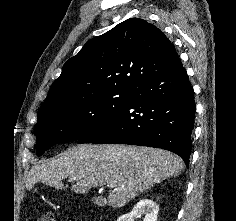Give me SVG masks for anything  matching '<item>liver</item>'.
Returning <instances> with one entry per match:
<instances>
[{
    "label": "liver",
    "instance_id": "liver-1",
    "mask_svg": "<svg viewBox=\"0 0 236 221\" xmlns=\"http://www.w3.org/2000/svg\"><path fill=\"white\" fill-rule=\"evenodd\" d=\"M183 170L180 158L166 150L118 144H83L33 166L30 189L42 182L62 189L63 179L76 181L72 190L85 194L91 188L113 184L108 206L123 207L137 195Z\"/></svg>",
    "mask_w": 236,
    "mask_h": 221
}]
</instances>
